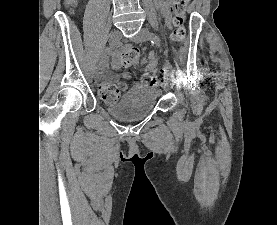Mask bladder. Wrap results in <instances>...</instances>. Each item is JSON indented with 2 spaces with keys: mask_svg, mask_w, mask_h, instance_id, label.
<instances>
[{
  "mask_svg": "<svg viewBox=\"0 0 277 225\" xmlns=\"http://www.w3.org/2000/svg\"><path fill=\"white\" fill-rule=\"evenodd\" d=\"M158 96L159 92L156 90L133 89L106 106L108 112L118 119L142 120L154 110Z\"/></svg>",
  "mask_w": 277,
  "mask_h": 225,
  "instance_id": "1",
  "label": "bladder"
}]
</instances>
